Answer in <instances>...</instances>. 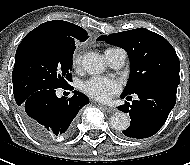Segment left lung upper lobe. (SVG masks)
Segmentation results:
<instances>
[{
	"label": "left lung upper lobe",
	"instance_id": "5c2ea615",
	"mask_svg": "<svg viewBox=\"0 0 190 165\" xmlns=\"http://www.w3.org/2000/svg\"><path fill=\"white\" fill-rule=\"evenodd\" d=\"M97 40H104L127 51L130 77L122 94H133L141 87L157 81L180 83L179 58L172 45L159 34L138 28L102 35Z\"/></svg>",
	"mask_w": 190,
	"mask_h": 165
}]
</instances>
